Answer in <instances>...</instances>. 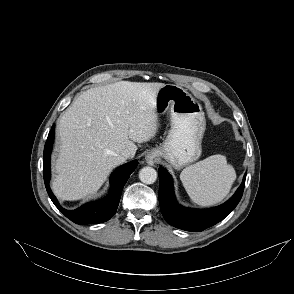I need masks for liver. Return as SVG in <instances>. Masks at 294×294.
<instances>
[{
    "instance_id": "obj_1",
    "label": "liver",
    "mask_w": 294,
    "mask_h": 294,
    "mask_svg": "<svg viewBox=\"0 0 294 294\" xmlns=\"http://www.w3.org/2000/svg\"><path fill=\"white\" fill-rule=\"evenodd\" d=\"M163 83L120 81L83 92L58 121L61 145L52 189L62 200L96 193L109 173L158 130L155 97Z\"/></svg>"
}]
</instances>
